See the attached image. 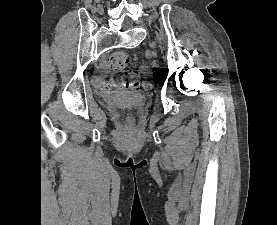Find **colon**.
<instances>
[{"label":"colon","instance_id":"5ec220e1","mask_svg":"<svg viewBox=\"0 0 277 225\" xmlns=\"http://www.w3.org/2000/svg\"><path fill=\"white\" fill-rule=\"evenodd\" d=\"M131 60V54L126 51L116 52L110 57L109 64L112 73L103 81V90L115 92L136 89L141 83L146 87L150 85L144 79L146 74L138 70H125Z\"/></svg>","mask_w":277,"mask_h":225}]
</instances>
